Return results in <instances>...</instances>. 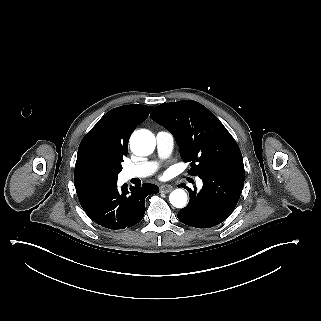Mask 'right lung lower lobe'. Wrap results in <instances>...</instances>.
<instances>
[{
    "label": "right lung lower lobe",
    "instance_id": "98d812e1",
    "mask_svg": "<svg viewBox=\"0 0 321 321\" xmlns=\"http://www.w3.org/2000/svg\"><path fill=\"white\" fill-rule=\"evenodd\" d=\"M117 181H88L75 186L78 199L87 215L97 224L119 230L137 224L145 213V198L159 192L150 183L142 187L123 185Z\"/></svg>",
    "mask_w": 321,
    "mask_h": 321
}]
</instances>
